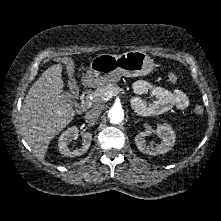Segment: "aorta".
Instances as JSON below:
<instances>
[{
  "label": "aorta",
  "instance_id": "1",
  "mask_svg": "<svg viewBox=\"0 0 221 221\" xmlns=\"http://www.w3.org/2000/svg\"><path fill=\"white\" fill-rule=\"evenodd\" d=\"M108 117L111 123L118 124L124 119V111L119 106H113L108 111Z\"/></svg>",
  "mask_w": 221,
  "mask_h": 221
}]
</instances>
